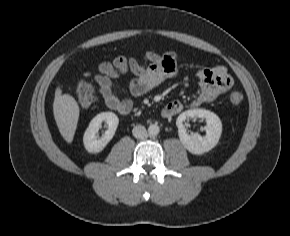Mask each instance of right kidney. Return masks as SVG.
Segmentation results:
<instances>
[{
	"mask_svg": "<svg viewBox=\"0 0 290 236\" xmlns=\"http://www.w3.org/2000/svg\"><path fill=\"white\" fill-rule=\"evenodd\" d=\"M103 122L108 124V129L102 135V137L98 138L97 133ZM119 124V119L117 115L113 112H102L97 114L89 123L84 136L83 143L85 149L90 153H99L101 152L106 145L113 138L117 126Z\"/></svg>",
	"mask_w": 290,
	"mask_h": 236,
	"instance_id": "right-kidney-1",
	"label": "right kidney"
}]
</instances>
